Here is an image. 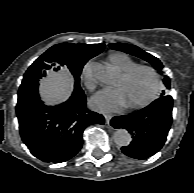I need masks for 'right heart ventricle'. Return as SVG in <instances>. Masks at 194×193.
<instances>
[{"label": "right heart ventricle", "instance_id": "right-heart-ventricle-1", "mask_svg": "<svg viewBox=\"0 0 194 193\" xmlns=\"http://www.w3.org/2000/svg\"><path fill=\"white\" fill-rule=\"evenodd\" d=\"M109 61L120 73H123L136 65V62L124 53L111 54L109 56Z\"/></svg>", "mask_w": 194, "mask_h": 193}]
</instances>
